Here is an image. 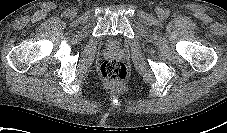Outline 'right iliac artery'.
<instances>
[{"instance_id": "right-iliac-artery-1", "label": "right iliac artery", "mask_w": 227, "mask_h": 133, "mask_svg": "<svg viewBox=\"0 0 227 133\" xmlns=\"http://www.w3.org/2000/svg\"><path fill=\"white\" fill-rule=\"evenodd\" d=\"M69 13H70L69 9L65 10V15H69Z\"/></svg>"}]
</instances>
